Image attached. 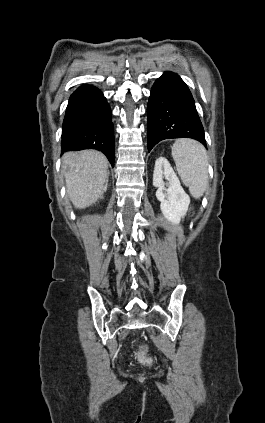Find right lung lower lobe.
<instances>
[{
    "mask_svg": "<svg viewBox=\"0 0 265 423\" xmlns=\"http://www.w3.org/2000/svg\"><path fill=\"white\" fill-rule=\"evenodd\" d=\"M62 152L96 149L114 166L111 110L102 92L82 85L69 99L62 126Z\"/></svg>",
    "mask_w": 265,
    "mask_h": 423,
    "instance_id": "98d812e1",
    "label": "right lung lower lobe"
}]
</instances>
